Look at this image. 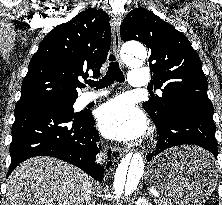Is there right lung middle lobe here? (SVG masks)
I'll return each instance as SVG.
<instances>
[{
	"mask_svg": "<svg viewBox=\"0 0 222 205\" xmlns=\"http://www.w3.org/2000/svg\"><path fill=\"white\" fill-rule=\"evenodd\" d=\"M75 101H71V102H65V101H48L45 103H42L41 105H46V106H53V107H57L59 109H62L74 116H81L82 113H74V110L72 108L73 104Z\"/></svg>",
	"mask_w": 222,
	"mask_h": 205,
	"instance_id": "1",
	"label": "right lung middle lobe"
}]
</instances>
